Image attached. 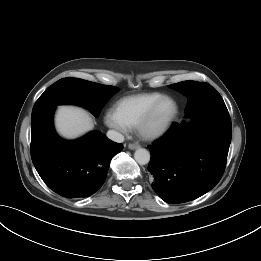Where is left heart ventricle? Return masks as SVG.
<instances>
[{
  "instance_id": "1",
  "label": "left heart ventricle",
  "mask_w": 261,
  "mask_h": 261,
  "mask_svg": "<svg viewBox=\"0 0 261 261\" xmlns=\"http://www.w3.org/2000/svg\"><path fill=\"white\" fill-rule=\"evenodd\" d=\"M172 110V104L170 102H165L159 109L154 123L157 124L161 122Z\"/></svg>"
}]
</instances>
